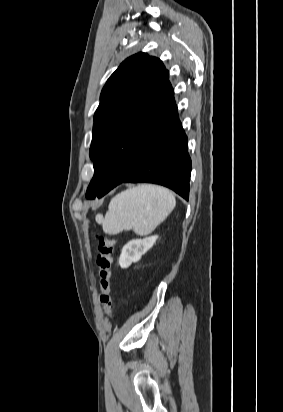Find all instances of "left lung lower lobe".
<instances>
[{
    "mask_svg": "<svg viewBox=\"0 0 283 412\" xmlns=\"http://www.w3.org/2000/svg\"><path fill=\"white\" fill-rule=\"evenodd\" d=\"M132 161L107 149L100 152L92 178L100 184L97 198L121 183L148 182L166 186L188 200L191 159L176 104L157 125L139 161Z\"/></svg>",
    "mask_w": 283,
    "mask_h": 412,
    "instance_id": "obj_1",
    "label": "left lung lower lobe"
}]
</instances>
